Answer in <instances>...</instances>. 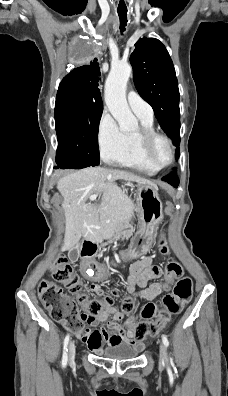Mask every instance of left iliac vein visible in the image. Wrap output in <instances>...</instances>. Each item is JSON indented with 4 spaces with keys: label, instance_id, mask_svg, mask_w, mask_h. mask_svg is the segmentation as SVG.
Returning a JSON list of instances; mask_svg holds the SVG:
<instances>
[{
    "label": "left iliac vein",
    "instance_id": "obj_1",
    "mask_svg": "<svg viewBox=\"0 0 228 396\" xmlns=\"http://www.w3.org/2000/svg\"><path fill=\"white\" fill-rule=\"evenodd\" d=\"M159 352H160V361L162 363H167V361H168L167 353H166L165 346L162 343H160Z\"/></svg>",
    "mask_w": 228,
    "mask_h": 396
}]
</instances>
